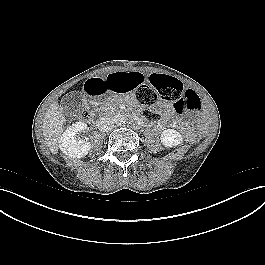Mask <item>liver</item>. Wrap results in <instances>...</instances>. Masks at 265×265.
Returning a JSON list of instances; mask_svg holds the SVG:
<instances>
[{
    "label": "liver",
    "instance_id": "1",
    "mask_svg": "<svg viewBox=\"0 0 265 265\" xmlns=\"http://www.w3.org/2000/svg\"><path fill=\"white\" fill-rule=\"evenodd\" d=\"M65 117L62 108L54 102L43 119V136L50 151L57 154L59 141L64 130Z\"/></svg>",
    "mask_w": 265,
    "mask_h": 265
}]
</instances>
